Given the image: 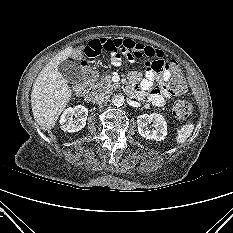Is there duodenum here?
Masks as SVG:
<instances>
[{"label": "duodenum", "mask_w": 233, "mask_h": 233, "mask_svg": "<svg viewBox=\"0 0 233 233\" xmlns=\"http://www.w3.org/2000/svg\"><path fill=\"white\" fill-rule=\"evenodd\" d=\"M96 93H97L96 87L90 86L84 90L83 95L85 99L92 100L95 97Z\"/></svg>", "instance_id": "1"}]
</instances>
